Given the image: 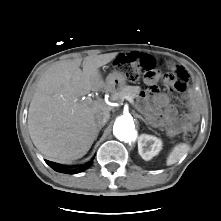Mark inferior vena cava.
Segmentation results:
<instances>
[{
	"mask_svg": "<svg viewBox=\"0 0 221 221\" xmlns=\"http://www.w3.org/2000/svg\"><path fill=\"white\" fill-rule=\"evenodd\" d=\"M110 118V114L108 112L98 113L95 116V122L98 127H103Z\"/></svg>",
	"mask_w": 221,
	"mask_h": 221,
	"instance_id": "inferior-vena-cava-1",
	"label": "inferior vena cava"
}]
</instances>
